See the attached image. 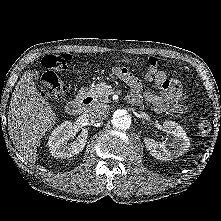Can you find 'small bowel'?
Instances as JSON below:
<instances>
[{
    "mask_svg": "<svg viewBox=\"0 0 221 221\" xmlns=\"http://www.w3.org/2000/svg\"><path fill=\"white\" fill-rule=\"evenodd\" d=\"M114 73L130 87L131 91L128 95V101L130 103L140 104L142 101H145L150 104L157 113L167 111L184 113L186 111L187 108L183 104L186 94L182 85L176 79L167 78L165 73L161 72L166 81L164 84L152 80L146 75L147 80L154 81L162 87V90L158 93L151 91L142 92L141 81L126 68H115Z\"/></svg>",
    "mask_w": 221,
    "mask_h": 221,
    "instance_id": "obj_1",
    "label": "small bowel"
}]
</instances>
